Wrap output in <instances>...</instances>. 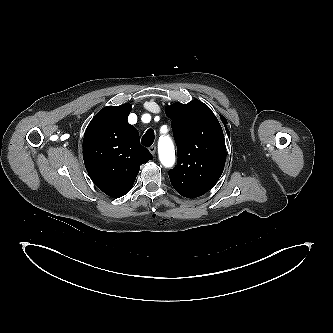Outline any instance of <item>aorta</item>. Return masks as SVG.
Here are the masks:
<instances>
[{
	"instance_id": "obj_1",
	"label": "aorta",
	"mask_w": 333,
	"mask_h": 333,
	"mask_svg": "<svg viewBox=\"0 0 333 333\" xmlns=\"http://www.w3.org/2000/svg\"><path fill=\"white\" fill-rule=\"evenodd\" d=\"M158 148L161 163L166 167L172 166L175 161V153L172 140L167 136L161 137L159 140Z\"/></svg>"
}]
</instances>
